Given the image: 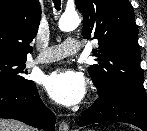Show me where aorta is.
<instances>
[{"label":"aorta","instance_id":"1","mask_svg":"<svg viewBox=\"0 0 147 131\" xmlns=\"http://www.w3.org/2000/svg\"><path fill=\"white\" fill-rule=\"evenodd\" d=\"M79 24L80 19L76 12H65L59 20V28L65 32L74 30Z\"/></svg>","mask_w":147,"mask_h":131}]
</instances>
